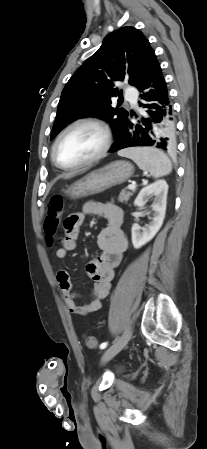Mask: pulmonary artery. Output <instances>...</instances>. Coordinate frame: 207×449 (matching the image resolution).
<instances>
[{"label":"pulmonary artery","mask_w":207,"mask_h":449,"mask_svg":"<svg viewBox=\"0 0 207 449\" xmlns=\"http://www.w3.org/2000/svg\"><path fill=\"white\" fill-rule=\"evenodd\" d=\"M137 91L134 87L130 86L125 91V98L133 105L136 104Z\"/></svg>","instance_id":"pulmonary-artery-1"}]
</instances>
